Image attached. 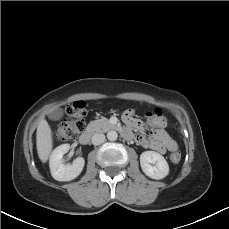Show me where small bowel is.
I'll use <instances>...</instances> for the list:
<instances>
[{"mask_svg": "<svg viewBox=\"0 0 229 229\" xmlns=\"http://www.w3.org/2000/svg\"><path fill=\"white\" fill-rule=\"evenodd\" d=\"M149 120L153 123V130L148 137L141 134H133L131 130L140 129L142 122L135 117L134 109H127L122 119L125 123L127 130L133 135V139L142 147L156 151L160 154H164L167 149L170 150V145L176 142L170 137L166 131L167 121L161 113V110H157L154 114H147Z\"/></svg>", "mask_w": 229, "mask_h": 229, "instance_id": "1", "label": "small bowel"}]
</instances>
